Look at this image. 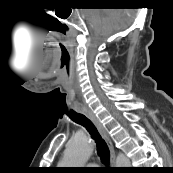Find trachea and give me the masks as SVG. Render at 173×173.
<instances>
[{
    "label": "trachea",
    "instance_id": "3493384b",
    "mask_svg": "<svg viewBox=\"0 0 173 173\" xmlns=\"http://www.w3.org/2000/svg\"><path fill=\"white\" fill-rule=\"evenodd\" d=\"M70 118L75 123L82 125L83 127L86 128V130L90 133V135L96 142L97 153H98V156L100 157L102 163L104 165H109V160H110L109 148H108L105 140L99 134V132H98L97 128L95 127V125L93 124V122L89 118H87L85 115L80 114V113H74L73 115H71Z\"/></svg>",
    "mask_w": 173,
    "mask_h": 173
}]
</instances>
